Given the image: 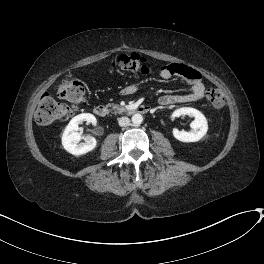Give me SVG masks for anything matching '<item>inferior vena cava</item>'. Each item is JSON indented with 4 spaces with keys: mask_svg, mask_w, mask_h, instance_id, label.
<instances>
[{
    "mask_svg": "<svg viewBox=\"0 0 264 264\" xmlns=\"http://www.w3.org/2000/svg\"><path fill=\"white\" fill-rule=\"evenodd\" d=\"M118 124L121 127L129 126L130 119L128 117H121L118 119Z\"/></svg>",
    "mask_w": 264,
    "mask_h": 264,
    "instance_id": "1",
    "label": "inferior vena cava"
}]
</instances>
